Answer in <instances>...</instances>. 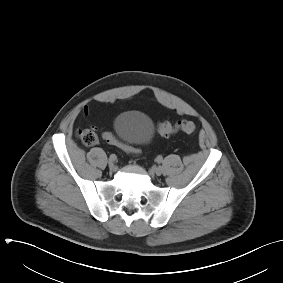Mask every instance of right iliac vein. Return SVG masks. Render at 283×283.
Segmentation results:
<instances>
[{"mask_svg": "<svg viewBox=\"0 0 283 283\" xmlns=\"http://www.w3.org/2000/svg\"><path fill=\"white\" fill-rule=\"evenodd\" d=\"M108 166H109L110 170H113V169L115 168V164H114V162L111 161V160H109Z\"/></svg>", "mask_w": 283, "mask_h": 283, "instance_id": "right-iliac-vein-1", "label": "right iliac vein"}]
</instances>
